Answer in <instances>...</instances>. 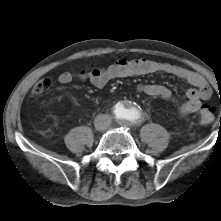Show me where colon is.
<instances>
[{"mask_svg":"<svg viewBox=\"0 0 221 221\" xmlns=\"http://www.w3.org/2000/svg\"><path fill=\"white\" fill-rule=\"evenodd\" d=\"M53 81L46 77L41 79L32 89L33 96H40L51 90ZM198 120L202 125H210L215 120V111L210 106H203L198 112Z\"/></svg>","mask_w":221,"mask_h":221,"instance_id":"1","label":"colon"}]
</instances>
